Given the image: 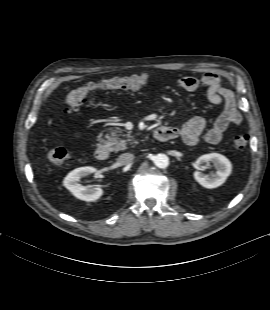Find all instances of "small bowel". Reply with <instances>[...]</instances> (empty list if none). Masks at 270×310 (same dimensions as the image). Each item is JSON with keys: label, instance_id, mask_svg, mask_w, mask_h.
<instances>
[{"label": "small bowel", "instance_id": "obj_1", "mask_svg": "<svg viewBox=\"0 0 270 310\" xmlns=\"http://www.w3.org/2000/svg\"><path fill=\"white\" fill-rule=\"evenodd\" d=\"M178 85L188 92L196 91L200 86H205L207 87L209 102L223 106L221 113L204 135L207 143L212 145L219 143L230 126L241 123L242 117L237 109L235 95L232 90L222 84L217 73L206 72L201 78L194 76L182 77L178 80ZM205 126V120L202 117L196 116L181 127H165L173 131L174 138L181 137L187 145L193 146L198 143ZM74 137L80 139L81 133L74 131Z\"/></svg>", "mask_w": 270, "mask_h": 310}]
</instances>
